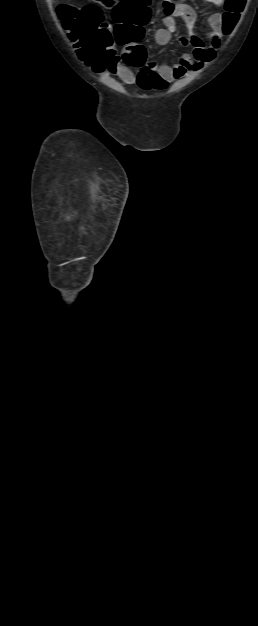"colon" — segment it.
Masks as SVG:
<instances>
[{
    "instance_id": "obj_1",
    "label": "colon",
    "mask_w": 258,
    "mask_h": 626,
    "mask_svg": "<svg viewBox=\"0 0 258 626\" xmlns=\"http://www.w3.org/2000/svg\"><path fill=\"white\" fill-rule=\"evenodd\" d=\"M246 0H225L223 32L230 33L244 8ZM107 9H114L116 26L109 29L101 7L88 4L77 7L63 3L57 13L74 44L79 58L95 71H102L118 58L116 45H125L122 59L127 64L139 66L146 58L145 48L138 44L143 36V26L150 17L151 0H98Z\"/></svg>"
}]
</instances>
